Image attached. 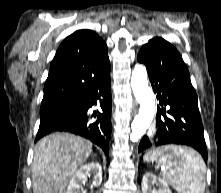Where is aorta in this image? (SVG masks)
Masks as SVG:
<instances>
[{"label": "aorta", "instance_id": "1", "mask_svg": "<svg viewBox=\"0 0 221 193\" xmlns=\"http://www.w3.org/2000/svg\"><path fill=\"white\" fill-rule=\"evenodd\" d=\"M131 87L140 104L139 112L131 124L130 140L137 142L150 127L155 115V95L148 86L147 71L144 65L137 64L131 76Z\"/></svg>", "mask_w": 221, "mask_h": 193}]
</instances>
